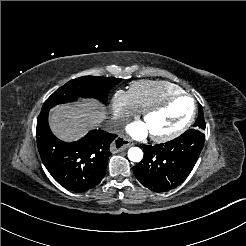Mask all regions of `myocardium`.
Wrapping results in <instances>:
<instances>
[{"mask_svg": "<svg viewBox=\"0 0 246 246\" xmlns=\"http://www.w3.org/2000/svg\"><path fill=\"white\" fill-rule=\"evenodd\" d=\"M184 98L188 99L189 102L194 104V100L190 95H188L186 93L181 94V95H177V96L172 97V98H170V99H168V100H166L160 104H157L155 106H152V107L146 109L143 112L142 121L143 122L147 121V119L152 114L163 111V110L167 109L175 101H177L179 99H184ZM194 117H195V107H193V111L190 114V116L185 121H183L178 127H176L174 130L167 132V133H163V134H150V137L156 142H165V141L171 140V139L179 136L180 134H182L184 131H186L191 126V124L194 120Z\"/></svg>", "mask_w": 246, "mask_h": 246, "instance_id": "f54148a6", "label": "myocardium"}]
</instances>
